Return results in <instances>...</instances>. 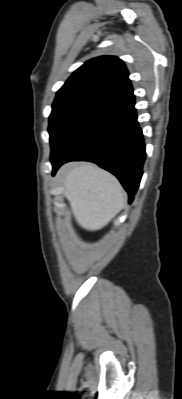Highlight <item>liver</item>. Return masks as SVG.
<instances>
[{
    "mask_svg": "<svg viewBox=\"0 0 182 399\" xmlns=\"http://www.w3.org/2000/svg\"><path fill=\"white\" fill-rule=\"evenodd\" d=\"M65 197L77 223L95 231L106 226L125 206L127 196L119 181L93 164L61 170Z\"/></svg>",
    "mask_w": 182,
    "mask_h": 399,
    "instance_id": "liver-1",
    "label": "liver"
}]
</instances>
